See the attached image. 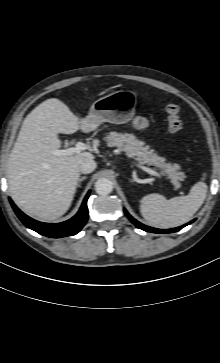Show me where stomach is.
I'll return each instance as SVG.
<instances>
[{"label":"stomach","instance_id":"stomach-1","mask_svg":"<svg viewBox=\"0 0 220 363\" xmlns=\"http://www.w3.org/2000/svg\"><path fill=\"white\" fill-rule=\"evenodd\" d=\"M137 95L131 90H119L96 100L82 123L95 129L102 122L128 123L135 115Z\"/></svg>","mask_w":220,"mask_h":363}]
</instances>
